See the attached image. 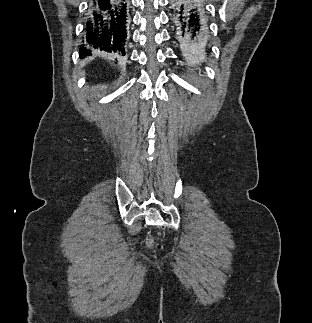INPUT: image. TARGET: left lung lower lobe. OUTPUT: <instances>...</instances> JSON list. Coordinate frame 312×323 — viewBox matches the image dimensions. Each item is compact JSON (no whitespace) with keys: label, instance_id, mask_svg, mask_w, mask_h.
Here are the masks:
<instances>
[{"label":"left lung lower lobe","instance_id":"1","mask_svg":"<svg viewBox=\"0 0 312 323\" xmlns=\"http://www.w3.org/2000/svg\"><path fill=\"white\" fill-rule=\"evenodd\" d=\"M171 13L174 35L185 53L200 55L208 52V22L202 0H175Z\"/></svg>","mask_w":312,"mask_h":323}]
</instances>
